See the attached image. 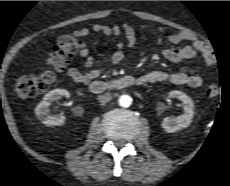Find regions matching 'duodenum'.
I'll return each mask as SVG.
<instances>
[{
	"mask_svg": "<svg viewBox=\"0 0 230 186\" xmlns=\"http://www.w3.org/2000/svg\"><path fill=\"white\" fill-rule=\"evenodd\" d=\"M142 78H135L131 75H125L111 80H94L90 83V90L93 93L100 94L114 89H123L135 85L143 84Z\"/></svg>",
	"mask_w": 230,
	"mask_h": 186,
	"instance_id": "obj_1",
	"label": "duodenum"
}]
</instances>
